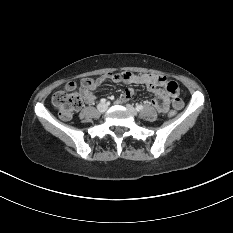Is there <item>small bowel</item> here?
<instances>
[{
	"label": "small bowel",
	"mask_w": 233,
	"mask_h": 233,
	"mask_svg": "<svg viewBox=\"0 0 233 233\" xmlns=\"http://www.w3.org/2000/svg\"><path fill=\"white\" fill-rule=\"evenodd\" d=\"M107 79L116 83L145 85L148 91L155 96L152 105L159 113H167L171 106L175 109H180L182 107V101L178 97L179 88L175 81L168 80L165 76L161 75L147 73L136 74L131 72H109L95 79L89 89L84 91L83 96L87 104L94 103L95 96L92 93V90L98 88ZM133 94V89H126L117 102L122 103L129 100Z\"/></svg>",
	"instance_id": "obj_1"
}]
</instances>
